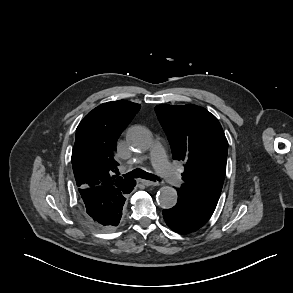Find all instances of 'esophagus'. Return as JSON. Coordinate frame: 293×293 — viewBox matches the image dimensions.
<instances>
[{
  "instance_id": "34e87169",
  "label": "esophagus",
  "mask_w": 293,
  "mask_h": 293,
  "mask_svg": "<svg viewBox=\"0 0 293 293\" xmlns=\"http://www.w3.org/2000/svg\"><path fill=\"white\" fill-rule=\"evenodd\" d=\"M140 182L142 184H144L145 186H157V185H159L158 182L149 181V180H145V179L140 180Z\"/></svg>"
}]
</instances>
